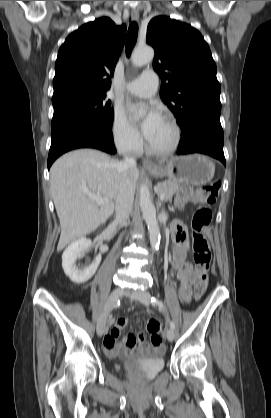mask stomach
<instances>
[{"label":"stomach","mask_w":271,"mask_h":418,"mask_svg":"<svg viewBox=\"0 0 271 418\" xmlns=\"http://www.w3.org/2000/svg\"><path fill=\"white\" fill-rule=\"evenodd\" d=\"M149 172L159 178L168 177L170 181L199 186L212 180L215 165L208 157L194 154L174 157L165 164L150 168Z\"/></svg>","instance_id":"obj_1"}]
</instances>
